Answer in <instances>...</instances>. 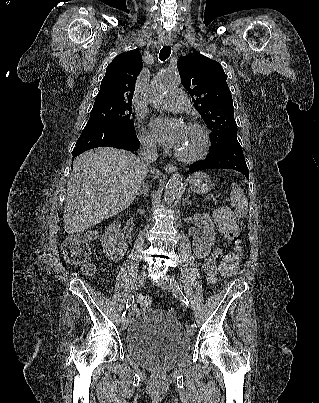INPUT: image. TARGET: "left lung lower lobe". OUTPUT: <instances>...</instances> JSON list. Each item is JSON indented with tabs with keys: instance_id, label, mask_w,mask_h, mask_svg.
<instances>
[{
	"instance_id": "0a47b994",
	"label": "left lung lower lobe",
	"mask_w": 319,
	"mask_h": 403,
	"mask_svg": "<svg viewBox=\"0 0 319 403\" xmlns=\"http://www.w3.org/2000/svg\"><path fill=\"white\" fill-rule=\"evenodd\" d=\"M212 168L234 169L249 178L248 167L238 141L229 142L216 151H210L206 159L191 165L190 173Z\"/></svg>"
}]
</instances>
